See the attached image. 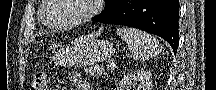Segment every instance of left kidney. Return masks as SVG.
<instances>
[{
  "label": "left kidney",
  "mask_w": 216,
  "mask_h": 90,
  "mask_svg": "<svg viewBox=\"0 0 216 90\" xmlns=\"http://www.w3.org/2000/svg\"><path fill=\"white\" fill-rule=\"evenodd\" d=\"M117 90H152L151 72L137 70L133 74H127L119 82Z\"/></svg>",
  "instance_id": "obj_1"
}]
</instances>
